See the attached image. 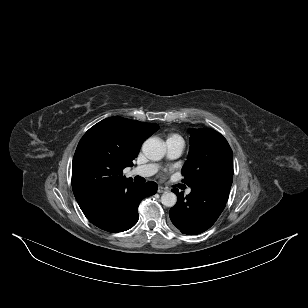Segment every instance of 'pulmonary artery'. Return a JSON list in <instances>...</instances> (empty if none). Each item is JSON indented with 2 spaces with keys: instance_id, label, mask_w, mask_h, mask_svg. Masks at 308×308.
<instances>
[{
  "instance_id": "1",
  "label": "pulmonary artery",
  "mask_w": 308,
  "mask_h": 308,
  "mask_svg": "<svg viewBox=\"0 0 308 308\" xmlns=\"http://www.w3.org/2000/svg\"><path fill=\"white\" fill-rule=\"evenodd\" d=\"M184 149V142L177 139H167L166 150L167 156L171 159L177 158L181 155ZM158 171V166L156 164H146L141 165L133 169V174L142 177H149L154 175ZM187 194L190 193V189L187 190Z\"/></svg>"
}]
</instances>
